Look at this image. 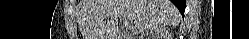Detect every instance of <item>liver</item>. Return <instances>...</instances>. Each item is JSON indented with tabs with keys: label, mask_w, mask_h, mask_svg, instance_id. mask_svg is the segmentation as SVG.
Masks as SVG:
<instances>
[{
	"label": "liver",
	"mask_w": 249,
	"mask_h": 39,
	"mask_svg": "<svg viewBox=\"0 0 249 39\" xmlns=\"http://www.w3.org/2000/svg\"><path fill=\"white\" fill-rule=\"evenodd\" d=\"M120 16L133 35L180 22L179 11L169 0H83L79 25L84 39H115Z\"/></svg>",
	"instance_id": "liver-1"
}]
</instances>
